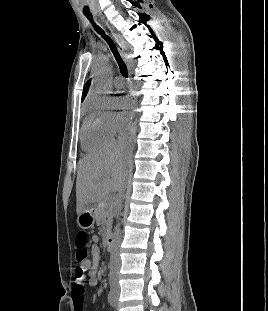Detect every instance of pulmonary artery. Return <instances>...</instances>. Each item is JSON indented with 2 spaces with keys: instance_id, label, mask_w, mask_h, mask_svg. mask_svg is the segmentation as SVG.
<instances>
[{
  "instance_id": "obj_1",
  "label": "pulmonary artery",
  "mask_w": 268,
  "mask_h": 311,
  "mask_svg": "<svg viewBox=\"0 0 268 311\" xmlns=\"http://www.w3.org/2000/svg\"><path fill=\"white\" fill-rule=\"evenodd\" d=\"M114 85H115V87H116L117 89H120V88H122V86H123V82H122V80H121L120 78H117V79L115 80V82H114Z\"/></svg>"
}]
</instances>
